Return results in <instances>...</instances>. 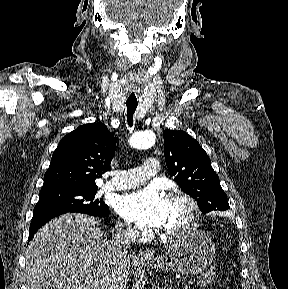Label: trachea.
<instances>
[{"label":"trachea","instance_id":"obj_1","mask_svg":"<svg viewBox=\"0 0 288 289\" xmlns=\"http://www.w3.org/2000/svg\"><path fill=\"white\" fill-rule=\"evenodd\" d=\"M127 122L129 126L131 127L133 125V115L136 111V108L138 106L137 103V97H138V91L134 86H130L127 88Z\"/></svg>","mask_w":288,"mask_h":289}]
</instances>
